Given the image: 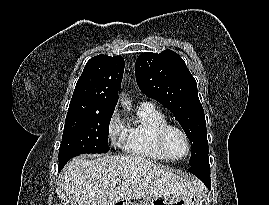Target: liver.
Here are the masks:
<instances>
[{"label": "liver", "instance_id": "liver-1", "mask_svg": "<svg viewBox=\"0 0 269 205\" xmlns=\"http://www.w3.org/2000/svg\"><path fill=\"white\" fill-rule=\"evenodd\" d=\"M115 179L122 183L113 186ZM61 182L71 205H115L147 196L176 199L203 192L194 177L176 175L138 156L76 157L64 167Z\"/></svg>", "mask_w": 269, "mask_h": 205}]
</instances>
